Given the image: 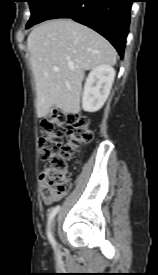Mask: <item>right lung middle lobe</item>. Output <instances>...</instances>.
Instances as JSON below:
<instances>
[{"mask_svg":"<svg viewBox=\"0 0 158 275\" xmlns=\"http://www.w3.org/2000/svg\"><path fill=\"white\" fill-rule=\"evenodd\" d=\"M56 0H28L31 9V18L27 23L26 28L37 24L44 13Z\"/></svg>","mask_w":158,"mask_h":275,"instance_id":"dd1d6c3e","label":"right lung middle lobe"}]
</instances>
